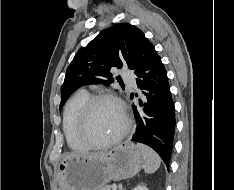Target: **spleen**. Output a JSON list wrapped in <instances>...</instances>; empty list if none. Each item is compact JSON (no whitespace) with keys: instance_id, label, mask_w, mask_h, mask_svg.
<instances>
[{"instance_id":"3e777b00","label":"spleen","mask_w":234,"mask_h":190,"mask_svg":"<svg viewBox=\"0 0 234 190\" xmlns=\"http://www.w3.org/2000/svg\"><path fill=\"white\" fill-rule=\"evenodd\" d=\"M138 149L141 151L144 158V171L145 173H154L158 170L161 164V158L159 155L150 147L137 143Z\"/></svg>"}]
</instances>
